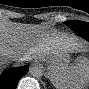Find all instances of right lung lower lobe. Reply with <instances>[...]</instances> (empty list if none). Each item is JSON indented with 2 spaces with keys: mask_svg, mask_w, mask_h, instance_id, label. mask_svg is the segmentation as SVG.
Here are the masks:
<instances>
[{
  "mask_svg": "<svg viewBox=\"0 0 89 89\" xmlns=\"http://www.w3.org/2000/svg\"><path fill=\"white\" fill-rule=\"evenodd\" d=\"M28 71V65L8 68L4 71V74L0 78V85L4 89H15L19 79L24 76Z\"/></svg>",
  "mask_w": 89,
  "mask_h": 89,
  "instance_id": "98d812e1",
  "label": "right lung lower lobe"
}]
</instances>
